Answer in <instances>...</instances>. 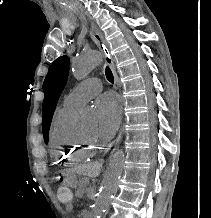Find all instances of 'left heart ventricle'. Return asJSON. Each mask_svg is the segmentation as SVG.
Instances as JSON below:
<instances>
[{
  "mask_svg": "<svg viewBox=\"0 0 211 218\" xmlns=\"http://www.w3.org/2000/svg\"><path fill=\"white\" fill-rule=\"evenodd\" d=\"M87 136H95L96 130L95 128L87 129L83 131Z\"/></svg>",
  "mask_w": 211,
  "mask_h": 218,
  "instance_id": "left-heart-ventricle-1",
  "label": "left heart ventricle"
}]
</instances>
